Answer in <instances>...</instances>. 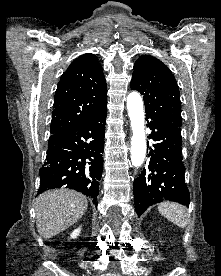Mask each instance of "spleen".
Segmentation results:
<instances>
[{
	"label": "spleen",
	"instance_id": "obj_1",
	"mask_svg": "<svg viewBox=\"0 0 221 276\" xmlns=\"http://www.w3.org/2000/svg\"><path fill=\"white\" fill-rule=\"evenodd\" d=\"M158 210L165 218L178 227L184 228L187 225L184 208L178 203L164 202L158 205Z\"/></svg>",
	"mask_w": 221,
	"mask_h": 276
}]
</instances>
